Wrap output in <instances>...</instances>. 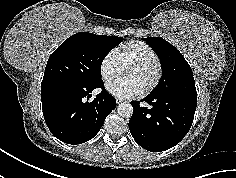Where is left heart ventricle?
Listing matches in <instances>:
<instances>
[{
    "instance_id": "left-heart-ventricle-1",
    "label": "left heart ventricle",
    "mask_w": 236,
    "mask_h": 178,
    "mask_svg": "<svg viewBox=\"0 0 236 178\" xmlns=\"http://www.w3.org/2000/svg\"><path fill=\"white\" fill-rule=\"evenodd\" d=\"M124 77L134 80L144 90L152 83L155 77V70L153 68H130L124 71Z\"/></svg>"
}]
</instances>
